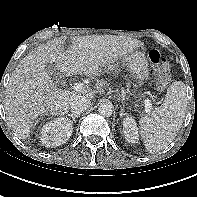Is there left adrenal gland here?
I'll return each mask as SVG.
<instances>
[{"label":"left adrenal gland","instance_id":"obj_1","mask_svg":"<svg viewBox=\"0 0 197 197\" xmlns=\"http://www.w3.org/2000/svg\"><path fill=\"white\" fill-rule=\"evenodd\" d=\"M125 115H126V113H124V109L121 107L120 117H123V116H125Z\"/></svg>","mask_w":197,"mask_h":197}]
</instances>
